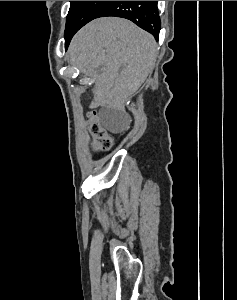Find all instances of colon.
<instances>
[{"label":"colon","mask_w":237,"mask_h":300,"mask_svg":"<svg viewBox=\"0 0 237 300\" xmlns=\"http://www.w3.org/2000/svg\"><path fill=\"white\" fill-rule=\"evenodd\" d=\"M88 117L87 129L93 137V149L96 152L109 150L112 146V140L100 126L96 113L90 112Z\"/></svg>","instance_id":"obj_1"}]
</instances>
